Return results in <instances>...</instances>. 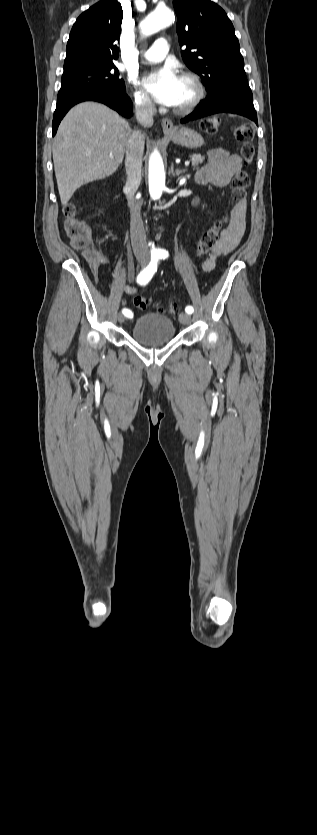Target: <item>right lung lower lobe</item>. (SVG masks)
<instances>
[{"label":"right lung lower lobe","instance_id":"obj_1","mask_svg":"<svg viewBox=\"0 0 317 835\" xmlns=\"http://www.w3.org/2000/svg\"><path fill=\"white\" fill-rule=\"evenodd\" d=\"M83 101L101 102L125 117H130L132 115V102L126 95L125 91H119L112 88H99L82 91L57 101L52 122L53 135L56 134L60 121L69 109L75 104Z\"/></svg>","mask_w":317,"mask_h":835}]
</instances>
